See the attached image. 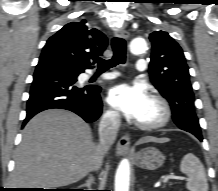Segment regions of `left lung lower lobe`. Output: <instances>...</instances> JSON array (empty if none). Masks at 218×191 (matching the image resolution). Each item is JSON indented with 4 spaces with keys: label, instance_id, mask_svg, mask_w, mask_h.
Here are the masks:
<instances>
[{
    "label": "left lung lower lobe",
    "instance_id": "0a47b994",
    "mask_svg": "<svg viewBox=\"0 0 218 191\" xmlns=\"http://www.w3.org/2000/svg\"><path fill=\"white\" fill-rule=\"evenodd\" d=\"M182 119H185L184 121H182ZM178 121L175 122L177 124V126L181 129V123L187 121L188 119L186 118V114L183 113V115L180 116V118L177 119ZM183 130V129H182ZM195 135L200 141L203 140L202 136H201V133H196V134H193Z\"/></svg>",
    "mask_w": 218,
    "mask_h": 191
}]
</instances>
